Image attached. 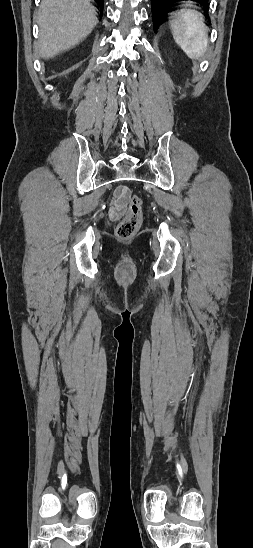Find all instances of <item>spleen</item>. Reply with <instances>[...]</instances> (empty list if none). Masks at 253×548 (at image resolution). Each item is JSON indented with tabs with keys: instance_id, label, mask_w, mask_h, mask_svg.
Returning <instances> with one entry per match:
<instances>
[{
	"instance_id": "3e777b00",
	"label": "spleen",
	"mask_w": 253,
	"mask_h": 548,
	"mask_svg": "<svg viewBox=\"0 0 253 548\" xmlns=\"http://www.w3.org/2000/svg\"><path fill=\"white\" fill-rule=\"evenodd\" d=\"M173 38L192 60L202 58L208 46V29L204 17L194 9H181L172 13L170 21Z\"/></svg>"
}]
</instances>
